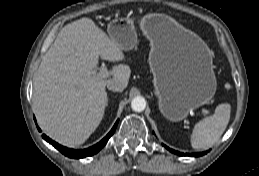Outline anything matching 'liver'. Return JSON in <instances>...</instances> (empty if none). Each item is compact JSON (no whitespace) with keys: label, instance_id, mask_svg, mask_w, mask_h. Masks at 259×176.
Instances as JSON below:
<instances>
[{"label":"liver","instance_id":"liver-1","mask_svg":"<svg viewBox=\"0 0 259 176\" xmlns=\"http://www.w3.org/2000/svg\"><path fill=\"white\" fill-rule=\"evenodd\" d=\"M99 56L121 61V45L92 20L68 24L43 59L34 83L35 109L42 127L58 140L81 143L97 128L107 106L105 87L118 82L124 89L127 66H114L112 78L97 72Z\"/></svg>","mask_w":259,"mask_h":176}]
</instances>
